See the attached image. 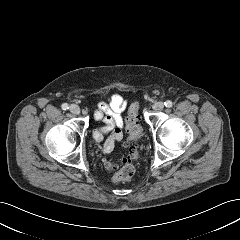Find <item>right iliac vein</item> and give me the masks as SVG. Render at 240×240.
<instances>
[{
    "instance_id": "obj_1",
    "label": "right iliac vein",
    "mask_w": 240,
    "mask_h": 240,
    "mask_svg": "<svg viewBox=\"0 0 240 240\" xmlns=\"http://www.w3.org/2000/svg\"><path fill=\"white\" fill-rule=\"evenodd\" d=\"M70 112L75 114V115H78L80 113V107L76 104H72L70 106Z\"/></svg>"
}]
</instances>
